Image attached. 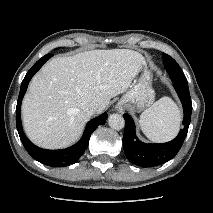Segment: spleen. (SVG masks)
<instances>
[{"mask_svg":"<svg viewBox=\"0 0 213 213\" xmlns=\"http://www.w3.org/2000/svg\"><path fill=\"white\" fill-rule=\"evenodd\" d=\"M180 121L178 106L169 97H163L141 114L139 125L148 139L163 142L177 134Z\"/></svg>","mask_w":213,"mask_h":213,"instance_id":"obj_1","label":"spleen"}]
</instances>
